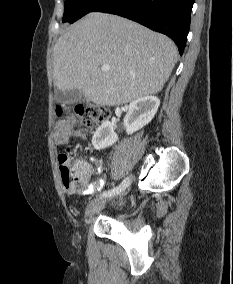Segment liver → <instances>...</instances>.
<instances>
[{
	"mask_svg": "<svg viewBox=\"0 0 233 284\" xmlns=\"http://www.w3.org/2000/svg\"><path fill=\"white\" fill-rule=\"evenodd\" d=\"M174 42L128 19L92 12L70 26L53 51L54 86L77 89L101 106L156 94L177 59ZM109 71H102V65Z\"/></svg>",
	"mask_w": 233,
	"mask_h": 284,
	"instance_id": "6515ba94",
	"label": "liver"
}]
</instances>
